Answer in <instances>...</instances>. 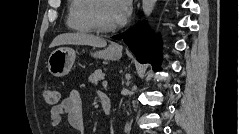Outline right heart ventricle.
<instances>
[{"label":"right heart ventricle","instance_id":"right-heart-ventricle-1","mask_svg":"<svg viewBox=\"0 0 239 134\" xmlns=\"http://www.w3.org/2000/svg\"><path fill=\"white\" fill-rule=\"evenodd\" d=\"M93 0H71L66 18L67 26L80 33L94 30L89 19V10Z\"/></svg>","mask_w":239,"mask_h":134}]
</instances>
